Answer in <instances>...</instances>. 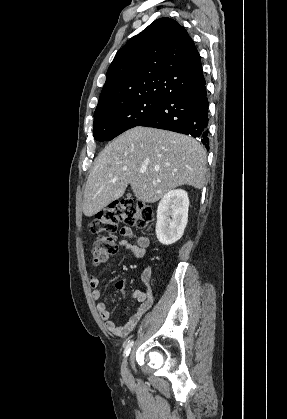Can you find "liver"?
I'll use <instances>...</instances> for the list:
<instances>
[{"mask_svg": "<svg viewBox=\"0 0 287 419\" xmlns=\"http://www.w3.org/2000/svg\"><path fill=\"white\" fill-rule=\"evenodd\" d=\"M203 146L190 136L147 127L132 128L111 141L94 161L82 210L91 217L119 199L128 184L135 197L154 203L182 185L206 183ZM145 169V173H140Z\"/></svg>", "mask_w": 287, "mask_h": 419, "instance_id": "obj_1", "label": "liver"}]
</instances>
